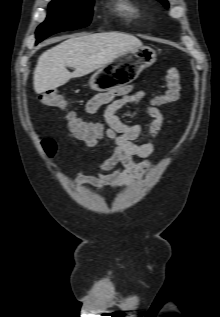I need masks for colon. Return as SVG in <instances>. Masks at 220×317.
Here are the masks:
<instances>
[{
  "instance_id": "obj_1",
  "label": "colon",
  "mask_w": 220,
  "mask_h": 317,
  "mask_svg": "<svg viewBox=\"0 0 220 317\" xmlns=\"http://www.w3.org/2000/svg\"><path fill=\"white\" fill-rule=\"evenodd\" d=\"M181 95V82L180 75L177 69L170 68L166 73V89L157 98L158 104H169L179 100ZM40 100L43 105L52 108H63L66 105V101L63 96L54 90H46L41 94ZM69 123L73 129H80L82 123L74 118L72 115H68ZM39 144L44 154L48 157L55 155L57 151V143L53 138L47 136L39 137Z\"/></svg>"
}]
</instances>
